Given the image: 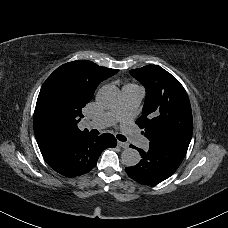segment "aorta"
I'll use <instances>...</instances> for the list:
<instances>
[{
    "mask_svg": "<svg viewBox=\"0 0 228 228\" xmlns=\"http://www.w3.org/2000/svg\"><path fill=\"white\" fill-rule=\"evenodd\" d=\"M97 102L106 109L116 107L120 101V91L116 86L105 85L97 93ZM141 156L136 149L126 148L121 155V161L128 167L139 163Z\"/></svg>",
    "mask_w": 228,
    "mask_h": 228,
    "instance_id": "aorta-1",
    "label": "aorta"
}]
</instances>
